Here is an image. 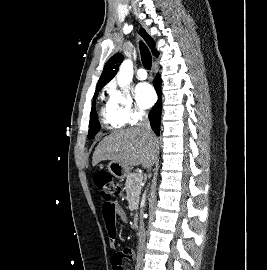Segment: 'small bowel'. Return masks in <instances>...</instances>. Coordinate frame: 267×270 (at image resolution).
Listing matches in <instances>:
<instances>
[{
	"mask_svg": "<svg viewBox=\"0 0 267 270\" xmlns=\"http://www.w3.org/2000/svg\"><path fill=\"white\" fill-rule=\"evenodd\" d=\"M102 211L107 233L110 237V247L111 249L115 250L116 218H125L126 214L117 202H105L103 204ZM115 255H119L121 259H123L124 257L132 259L134 256L130 248H124L122 251L115 252L112 256V259ZM121 270H124L122 268V265Z\"/></svg>",
	"mask_w": 267,
	"mask_h": 270,
	"instance_id": "obj_1",
	"label": "small bowel"
}]
</instances>
